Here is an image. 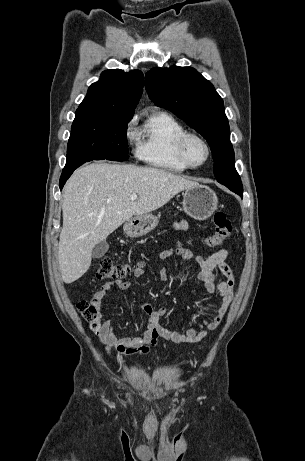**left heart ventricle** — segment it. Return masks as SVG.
<instances>
[{"instance_id":"1","label":"left heart ventricle","mask_w":305,"mask_h":461,"mask_svg":"<svg viewBox=\"0 0 305 461\" xmlns=\"http://www.w3.org/2000/svg\"><path fill=\"white\" fill-rule=\"evenodd\" d=\"M186 151L190 161L194 164L203 162L206 157V149L204 145L196 139L188 141Z\"/></svg>"}]
</instances>
